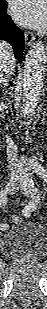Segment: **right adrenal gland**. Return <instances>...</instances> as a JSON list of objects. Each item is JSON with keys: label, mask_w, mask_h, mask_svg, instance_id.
<instances>
[{"label": "right adrenal gland", "mask_w": 47, "mask_h": 309, "mask_svg": "<svg viewBox=\"0 0 47 309\" xmlns=\"http://www.w3.org/2000/svg\"><path fill=\"white\" fill-rule=\"evenodd\" d=\"M0 86L2 87H7L8 86V81L4 78H0Z\"/></svg>", "instance_id": "1"}]
</instances>
